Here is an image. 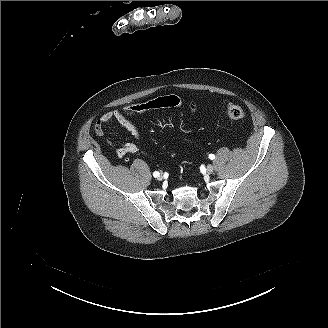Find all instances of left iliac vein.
Here are the masks:
<instances>
[{
  "label": "left iliac vein",
  "mask_w": 328,
  "mask_h": 328,
  "mask_svg": "<svg viewBox=\"0 0 328 328\" xmlns=\"http://www.w3.org/2000/svg\"><path fill=\"white\" fill-rule=\"evenodd\" d=\"M206 171H207L208 174H211L214 171V167L212 165H208L206 167Z\"/></svg>",
  "instance_id": "4c4485c4"
}]
</instances>
